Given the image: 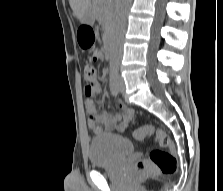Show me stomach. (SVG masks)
Listing matches in <instances>:
<instances>
[{"mask_svg":"<svg viewBox=\"0 0 223 191\" xmlns=\"http://www.w3.org/2000/svg\"><path fill=\"white\" fill-rule=\"evenodd\" d=\"M81 22L84 24H92L95 21V14L93 10L89 7L81 16Z\"/></svg>","mask_w":223,"mask_h":191,"instance_id":"1","label":"stomach"}]
</instances>
